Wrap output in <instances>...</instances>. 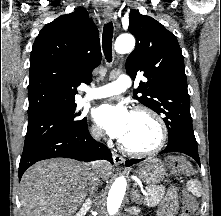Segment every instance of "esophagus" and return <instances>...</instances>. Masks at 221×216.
Segmentation results:
<instances>
[{
  "label": "esophagus",
  "mask_w": 221,
  "mask_h": 216,
  "mask_svg": "<svg viewBox=\"0 0 221 216\" xmlns=\"http://www.w3.org/2000/svg\"><path fill=\"white\" fill-rule=\"evenodd\" d=\"M103 16L106 21H110L113 18V11L110 9H106L104 10ZM112 156H113V161L115 165L117 166L122 165V163L124 162V158L122 156H120L119 154L115 152L112 153Z\"/></svg>",
  "instance_id": "34e87169"
}]
</instances>
